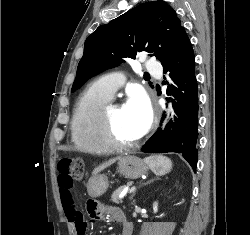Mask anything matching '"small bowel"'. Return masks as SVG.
I'll return each mask as SVG.
<instances>
[{
  "label": "small bowel",
  "mask_w": 250,
  "mask_h": 235,
  "mask_svg": "<svg viewBox=\"0 0 250 235\" xmlns=\"http://www.w3.org/2000/svg\"><path fill=\"white\" fill-rule=\"evenodd\" d=\"M60 190V199L63 207V211L67 219L75 225L78 235V225H81L83 230V235L87 229V223L83 220L80 214L76 211L75 202L71 193L70 188H61ZM87 210L90 216L94 220H101L105 217H110L115 222L121 223L123 225L122 235H131L132 234V225L128 223L122 212L115 206H106L98 205L95 202H90L87 205Z\"/></svg>",
  "instance_id": "obj_1"
}]
</instances>
